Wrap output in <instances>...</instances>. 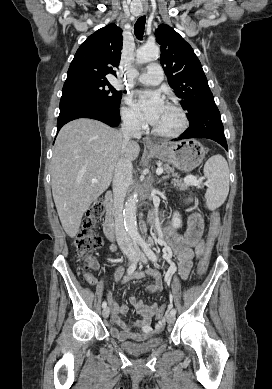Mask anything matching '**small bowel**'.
I'll list each match as a JSON object with an SVG mask.
<instances>
[{"label":"small bowel","mask_w":272,"mask_h":389,"mask_svg":"<svg viewBox=\"0 0 272 389\" xmlns=\"http://www.w3.org/2000/svg\"><path fill=\"white\" fill-rule=\"evenodd\" d=\"M187 203L191 204V198L186 199ZM203 219L201 213L195 208L191 207V214L187 220V227L183 234L178 233L171 226L165 231V239L168 246L167 258L175 257L178 263V273L181 278L186 279L189 276L192 268L194 258H199L204 252L203 241ZM89 266L92 269H98V262L90 258ZM123 275V268H117L113 273V281L118 283ZM146 276L153 278V283L149 288L150 293L161 292L163 289L162 274L156 269H147L145 272H137L133 275L134 278L143 279ZM130 304L134 307L136 312L140 315V319L136 321V325L139 328L138 331H132L129 324L122 319V315L128 311L127 306L117 304L112 298H110V305L112 308V320L120 327V330L116 327L111 328V334L118 340L131 339L134 341H142L151 337L154 334V327L152 326V319L158 310L157 304L147 305L143 301L138 300L132 296L129 299Z\"/></svg>","instance_id":"c3829d8e"}]
</instances>
